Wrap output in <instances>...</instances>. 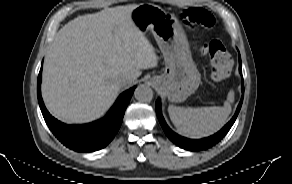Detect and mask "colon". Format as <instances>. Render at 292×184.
Segmentation results:
<instances>
[{"instance_id": "obj_1", "label": "colon", "mask_w": 292, "mask_h": 184, "mask_svg": "<svg viewBox=\"0 0 292 184\" xmlns=\"http://www.w3.org/2000/svg\"><path fill=\"white\" fill-rule=\"evenodd\" d=\"M182 19L189 25H203V26H213L214 18L206 10L201 8H193L183 12ZM202 54L209 57L213 71L211 73V78L215 82L222 81L225 79L231 69L233 60L229 52L219 41H212L210 43L204 44L200 48Z\"/></svg>"}]
</instances>
